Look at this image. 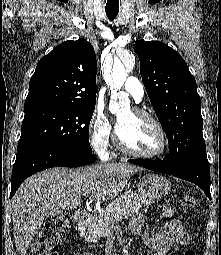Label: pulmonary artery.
Here are the masks:
<instances>
[{"instance_id":"e3ab8cb5","label":"pulmonary artery","mask_w":221,"mask_h":255,"mask_svg":"<svg viewBox=\"0 0 221 255\" xmlns=\"http://www.w3.org/2000/svg\"><path fill=\"white\" fill-rule=\"evenodd\" d=\"M123 88L136 101H141L144 97V87L142 83L135 77L127 78L123 85Z\"/></svg>"}]
</instances>
